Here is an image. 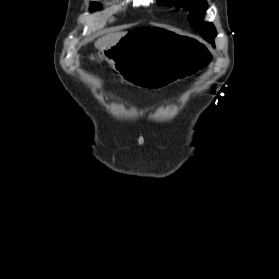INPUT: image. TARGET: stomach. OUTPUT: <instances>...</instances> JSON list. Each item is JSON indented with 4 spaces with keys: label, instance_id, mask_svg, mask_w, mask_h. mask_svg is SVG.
<instances>
[{
    "label": "stomach",
    "instance_id": "stomach-1",
    "mask_svg": "<svg viewBox=\"0 0 279 279\" xmlns=\"http://www.w3.org/2000/svg\"><path fill=\"white\" fill-rule=\"evenodd\" d=\"M89 53V63L110 59L122 79L136 91H164V87L193 82V78H203L210 72V67L204 66L210 62L211 51L204 42L162 25H136V30H128L114 46Z\"/></svg>",
    "mask_w": 279,
    "mask_h": 279
}]
</instances>
